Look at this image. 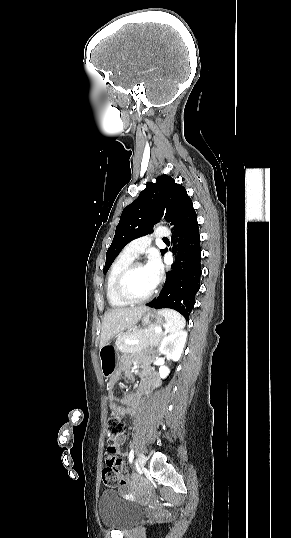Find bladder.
Instances as JSON below:
<instances>
[{
	"instance_id": "bladder-1",
	"label": "bladder",
	"mask_w": 291,
	"mask_h": 538,
	"mask_svg": "<svg viewBox=\"0 0 291 538\" xmlns=\"http://www.w3.org/2000/svg\"><path fill=\"white\" fill-rule=\"evenodd\" d=\"M98 513L106 527L125 530L141 516L142 510L136 504L124 500L116 489H108L98 501Z\"/></svg>"
}]
</instances>
